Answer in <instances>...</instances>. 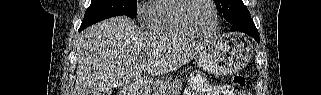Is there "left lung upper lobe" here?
<instances>
[{"label": "left lung upper lobe", "instance_id": "1", "mask_svg": "<svg viewBox=\"0 0 321 95\" xmlns=\"http://www.w3.org/2000/svg\"><path fill=\"white\" fill-rule=\"evenodd\" d=\"M219 12L231 25L250 17L242 0H214Z\"/></svg>", "mask_w": 321, "mask_h": 95}]
</instances>
